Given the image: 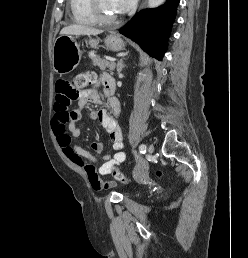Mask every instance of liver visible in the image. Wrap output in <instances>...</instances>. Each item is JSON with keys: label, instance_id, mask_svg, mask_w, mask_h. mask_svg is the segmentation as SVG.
Here are the masks:
<instances>
[{"label": "liver", "instance_id": "obj_1", "mask_svg": "<svg viewBox=\"0 0 248 258\" xmlns=\"http://www.w3.org/2000/svg\"><path fill=\"white\" fill-rule=\"evenodd\" d=\"M102 32L103 31L99 29L73 24V25L64 27L60 31V35H98V34H101Z\"/></svg>", "mask_w": 248, "mask_h": 258}]
</instances>
